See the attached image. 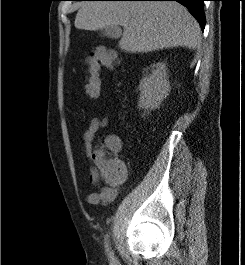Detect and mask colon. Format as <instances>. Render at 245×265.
Returning a JSON list of instances; mask_svg holds the SVG:
<instances>
[{"instance_id":"obj_1","label":"colon","mask_w":245,"mask_h":265,"mask_svg":"<svg viewBox=\"0 0 245 265\" xmlns=\"http://www.w3.org/2000/svg\"><path fill=\"white\" fill-rule=\"evenodd\" d=\"M118 64L116 54L106 48H97L87 57V82L84 88L85 95L90 100H96L100 96L101 82L99 69L104 66L113 69ZM121 143L118 138H111L104 146L97 151L94 162L97 169L108 179L116 180L125 175V165L117 158Z\"/></svg>"}]
</instances>
